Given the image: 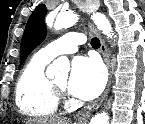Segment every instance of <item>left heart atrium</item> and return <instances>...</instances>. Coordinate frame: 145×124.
<instances>
[{"label": "left heart atrium", "mask_w": 145, "mask_h": 124, "mask_svg": "<svg viewBox=\"0 0 145 124\" xmlns=\"http://www.w3.org/2000/svg\"><path fill=\"white\" fill-rule=\"evenodd\" d=\"M105 82V71L96 58L77 57L73 60L67 85L72 95L91 100L101 93Z\"/></svg>", "instance_id": "39dd6f15"}]
</instances>
